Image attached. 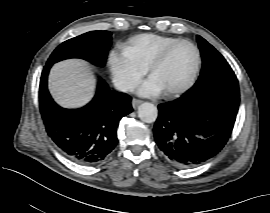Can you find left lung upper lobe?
<instances>
[{"mask_svg":"<svg viewBox=\"0 0 270 213\" xmlns=\"http://www.w3.org/2000/svg\"><path fill=\"white\" fill-rule=\"evenodd\" d=\"M197 42L202 55V70L197 82L186 94H192L211 83L234 74L224 57L212 45L201 36H197Z\"/></svg>","mask_w":270,"mask_h":213,"instance_id":"left-lung-upper-lobe-1","label":"left lung upper lobe"}]
</instances>
